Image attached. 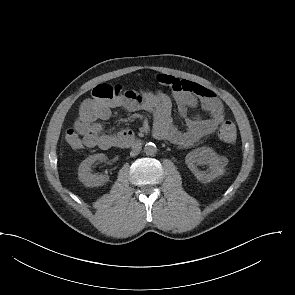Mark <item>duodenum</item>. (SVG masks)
I'll use <instances>...</instances> for the list:
<instances>
[{
	"label": "duodenum",
	"instance_id": "obj_1",
	"mask_svg": "<svg viewBox=\"0 0 295 295\" xmlns=\"http://www.w3.org/2000/svg\"><path fill=\"white\" fill-rule=\"evenodd\" d=\"M142 144V140L134 137L132 134L123 133L117 137L113 147H136Z\"/></svg>",
	"mask_w": 295,
	"mask_h": 295
}]
</instances>
